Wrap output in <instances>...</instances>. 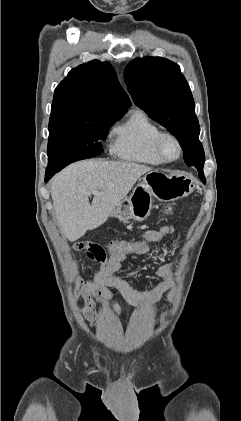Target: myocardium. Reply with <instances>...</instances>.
Instances as JSON below:
<instances>
[{"label":"myocardium","instance_id":"1","mask_svg":"<svg viewBox=\"0 0 241 421\" xmlns=\"http://www.w3.org/2000/svg\"><path fill=\"white\" fill-rule=\"evenodd\" d=\"M167 139L172 140L176 144V147H177V154L172 158L167 157L164 153L163 145H164L165 140ZM154 146H155V151L157 155L160 157V159L163 162H173L177 160L181 156L182 151H183L182 144L179 138L174 133L168 132V131H161L158 134V136L155 139Z\"/></svg>","mask_w":241,"mask_h":421}]
</instances>
